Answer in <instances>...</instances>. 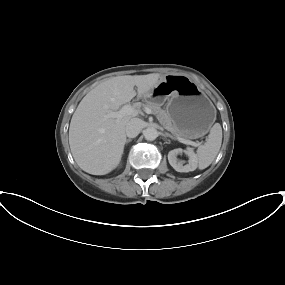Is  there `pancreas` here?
Instances as JSON below:
<instances>
[{
	"label": "pancreas",
	"mask_w": 285,
	"mask_h": 285,
	"mask_svg": "<svg viewBox=\"0 0 285 285\" xmlns=\"http://www.w3.org/2000/svg\"><path fill=\"white\" fill-rule=\"evenodd\" d=\"M144 107L151 109L153 114L156 115L161 125H163L168 131H170L176 136L184 137L182 132L172 123V120L168 113L163 110L159 105L152 102H147L146 104H144Z\"/></svg>",
	"instance_id": "cf45deb5"
}]
</instances>
